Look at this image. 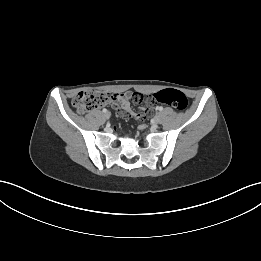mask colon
<instances>
[{"label":"colon","mask_w":261,"mask_h":261,"mask_svg":"<svg viewBox=\"0 0 261 261\" xmlns=\"http://www.w3.org/2000/svg\"><path fill=\"white\" fill-rule=\"evenodd\" d=\"M153 97H155L156 102L167 104L179 111L184 110L187 106L186 96L175 89L161 90L155 93ZM115 101H118V96L109 92L84 90L76 94L72 100V104L79 113L83 114Z\"/></svg>","instance_id":"colon-1"}]
</instances>
